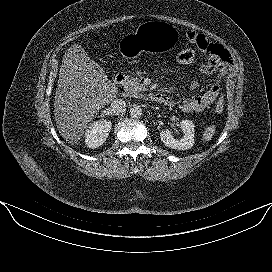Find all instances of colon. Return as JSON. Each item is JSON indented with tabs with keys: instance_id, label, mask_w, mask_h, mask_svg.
<instances>
[{
	"instance_id": "obj_1",
	"label": "colon",
	"mask_w": 272,
	"mask_h": 272,
	"mask_svg": "<svg viewBox=\"0 0 272 272\" xmlns=\"http://www.w3.org/2000/svg\"><path fill=\"white\" fill-rule=\"evenodd\" d=\"M195 59V52L192 49H182L176 53V60L181 64L192 63ZM224 110V98L221 96L215 105V112L221 113Z\"/></svg>"
}]
</instances>
